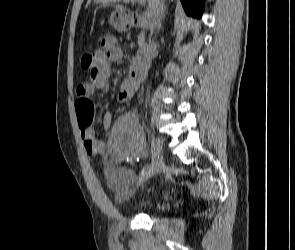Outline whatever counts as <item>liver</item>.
Instances as JSON below:
<instances>
[{
    "label": "liver",
    "instance_id": "liver-1",
    "mask_svg": "<svg viewBox=\"0 0 295 250\" xmlns=\"http://www.w3.org/2000/svg\"><path fill=\"white\" fill-rule=\"evenodd\" d=\"M119 1L120 0H95L96 3H102L104 5L113 4V3H116V2H119ZM147 1H148L149 5L152 7V11L154 12V7H155L156 0H147ZM115 7L117 8V10L124 11V7L122 5L117 4V5H115Z\"/></svg>",
    "mask_w": 295,
    "mask_h": 250
}]
</instances>
